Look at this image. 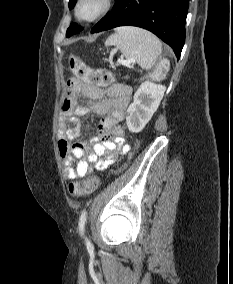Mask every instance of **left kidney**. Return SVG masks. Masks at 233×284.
I'll list each match as a JSON object with an SVG mask.
<instances>
[{"mask_svg": "<svg viewBox=\"0 0 233 284\" xmlns=\"http://www.w3.org/2000/svg\"><path fill=\"white\" fill-rule=\"evenodd\" d=\"M166 88L151 81L143 82L134 94L133 103L127 109L126 123L132 133H138L151 120L158 109Z\"/></svg>", "mask_w": 233, "mask_h": 284, "instance_id": "left-kidney-1", "label": "left kidney"}]
</instances>
